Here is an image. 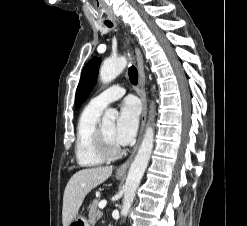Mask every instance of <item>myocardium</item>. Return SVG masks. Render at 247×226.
<instances>
[{
  "instance_id": "myocardium-1",
  "label": "myocardium",
  "mask_w": 247,
  "mask_h": 226,
  "mask_svg": "<svg viewBox=\"0 0 247 226\" xmlns=\"http://www.w3.org/2000/svg\"><path fill=\"white\" fill-rule=\"evenodd\" d=\"M93 144L96 153L104 160L110 161L117 159L122 154L121 147L110 149L106 143L102 127L98 126L94 133Z\"/></svg>"
}]
</instances>
